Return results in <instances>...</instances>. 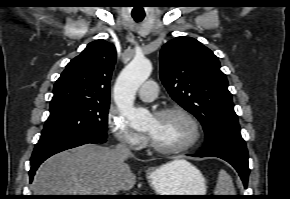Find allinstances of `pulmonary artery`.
<instances>
[{
	"label": "pulmonary artery",
	"instance_id": "obj_1",
	"mask_svg": "<svg viewBox=\"0 0 290 199\" xmlns=\"http://www.w3.org/2000/svg\"><path fill=\"white\" fill-rule=\"evenodd\" d=\"M138 96L145 102H152L157 97V84L154 81H147L138 90Z\"/></svg>",
	"mask_w": 290,
	"mask_h": 199
}]
</instances>
